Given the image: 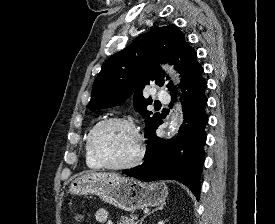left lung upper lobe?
<instances>
[{"mask_svg": "<svg viewBox=\"0 0 275 224\" xmlns=\"http://www.w3.org/2000/svg\"><path fill=\"white\" fill-rule=\"evenodd\" d=\"M164 62L174 65L181 74L180 85L202 68L196 51L176 25L152 27L149 33L112 55L94 81L90 110L119 105L134 94V107L145 118L146 134L161 117L147 110L152 99L143 97V89L150 83L163 86L169 80L159 67ZM166 86L170 92L175 90L171 81Z\"/></svg>", "mask_w": 275, "mask_h": 224, "instance_id": "obj_1", "label": "left lung upper lobe"}]
</instances>
